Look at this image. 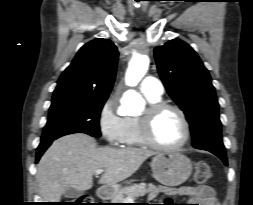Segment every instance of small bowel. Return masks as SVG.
Returning a JSON list of instances; mask_svg holds the SVG:
<instances>
[{
	"instance_id": "1",
	"label": "small bowel",
	"mask_w": 253,
	"mask_h": 205,
	"mask_svg": "<svg viewBox=\"0 0 253 205\" xmlns=\"http://www.w3.org/2000/svg\"><path fill=\"white\" fill-rule=\"evenodd\" d=\"M159 192L167 196L181 195L188 197L191 201L196 202L195 205H218L213 190L209 186H187L178 190L159 187ZM154 193L151 194L153 196Z\"/></svg>"
}]
</instances>
